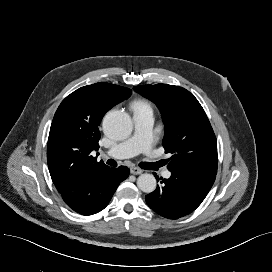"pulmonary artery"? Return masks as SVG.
I'll use <instances>...</instances> for the list:
<instances>
[{
    "mask_svg": "<svg viewBox=\"0 0 272 272\" xmlns=\"http://www.w3.org/2000/svg\"><path fill=\"white\" fill-rule=\"evenodd\" d=\"M134 133L127 140L114 145L105 152L115 158H128L138 153L152 154V128L154 115L152 111H134ZM166 178L170 173H164Z\"/></svg>",
    "mask_w": 272,
    "mask_h": 272,
    "instance_id": "pulmonary-artery-1",
    "label": "pulmonary artery"
}]
</instances>
